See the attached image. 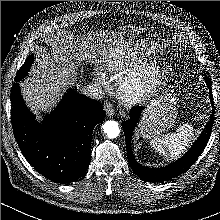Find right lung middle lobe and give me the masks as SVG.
Segmentation results:
<instances>
[{
	"instance_id": "dd1d6c3e",
	"label": "right lung middle lobe",
	"mask_w": 220,
	"mask_h": 220,
	"mask_svg": "<svg viewBox=\"0 0 220 220\" xmlns=\"http://www.w3.org/2000/svg\"><path fill=\"white\" fill-rule=\"evenodd\" d=\"M33 60H34L33 55H29L27 57L25 63L22 65L20 70L17 72V75L15 77L16 82L22 80L28 74V71L30 70V66L33 63Z\"/></svg>"
}]
</instances>
